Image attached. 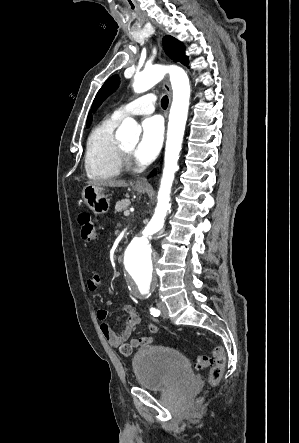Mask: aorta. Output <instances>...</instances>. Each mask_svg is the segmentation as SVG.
Returning <instances> with one entry per match:
<instances>
[{"instance_id": "obj_1", "label": "aorta", "mask_w": 299, "mask_h": 443, "mask_svg": "<svg viewBox=\"0 0 299 443\" xmlns=\"http://www.w3.org/2000/svg\"><path fill=\"white\" fill-rule=\"evenodd\" d=\"M170 75L173 101L169 113L164 168L157 196L154 215L145 228L129 243L124 255V267L132 281V293L139 298L150 296L154 286V253L151 239L163 228L170 206V193L175 172L179 169L178 159L182 148L188 115L190 85L185 71L178 66L155 65L144 69L134 77L133 89L142 93ZM141 132L137 122L128 117L116 132L119 140L136 143Z\"/></svg>"}]
</instances>
